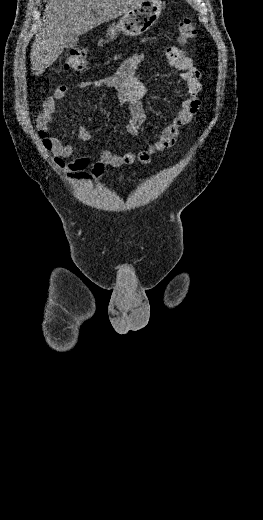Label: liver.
<instances>
[{
	"label": "liver",
	"mask_w": 263,
	"mask_h": 520,
	"mask_svg": "<svg viewBox=\"0 0 263 520\" xmlns=\"http://www.w3.org/2000/svg\"><path fill=\"white\" fill-rule=\"evenodd\" d=\"M143 1L49 0L43 14L44 27L36 35L31 49L33 75H41L57 60L65 47L66 35H83L103 22L127 13Z\"/></svg>",
	"instance_id": "liver-1"
}]
</instances>
